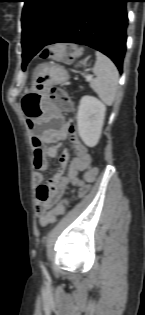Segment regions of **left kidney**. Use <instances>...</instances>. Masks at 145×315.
<instances>
[{
  "label": "left kidney",
  "instance_id": "1",
  "mask_svg": "<svg viewBox=\"0 0 145 315\" xmlns=\"http://www.w3.org/2000/svg\"><path fill=\"white\" fill-rule=\"evenodd\" d=\"M106 106L97 98L86 95L81 98L77 126L79 136L89 147H94L101 136Z\"/></svg>",
  "mask_w": 145,
  "mask_h": 315
}]
</instances>
